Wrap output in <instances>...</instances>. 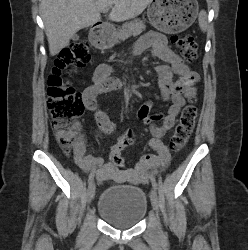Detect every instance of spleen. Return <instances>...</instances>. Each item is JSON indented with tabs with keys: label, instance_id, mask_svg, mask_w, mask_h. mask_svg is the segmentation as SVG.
Listing matches in <instances>:
<instances>
[{
	"label": "spleen",
	"instance_id": "spleen-1",
	"mask_svg": "<svg viewBox=\"0 0 248 250\" xmlns=\"http://www.w3.org/2000/svg\"><path fill=\"white\" fill-rule=\"evenodd\" d=\"M199 26L201 28V30L203 32L206 31L207 27H208V23H207V14L204 10H202L200 13H199Z\"/></svg>",
	"mask_w": 248,
	"mask_h": 250
}]
</instances>
